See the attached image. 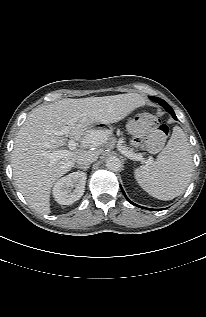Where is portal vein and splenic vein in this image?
<instances>
[{
	"instance_id": "18ae733b",
	"label": "portal vein and splenic vein",
	"mask_w": 206,
	"mask_h": 317,
	"mask_svg": "<svg viewBox=\"0 0 206 317\" xmlns=\"http://www.w3.org/2000/svg\"><path fill=\"white\" fill-rule=\"evenodd\" d=\"M68 131H69V126H63L61 128V130L59 131V134L65 135L68 133ZM68 147L70 150L60 149V150H57V151H54L52 153L47 154V156L52 161H56L58 159H62V158L69 156L72 153L71 151L75 150L77 147V143L75 142V140L70 139L68 141ZM121 152H122V154H124L125 156L130 158L131 160H135V161H143L144 160V158L140 154H136V153H133L132 151H128L127 149H125L123 147H121Z\"/></svg>"
}]
</instances>
